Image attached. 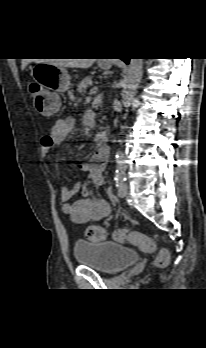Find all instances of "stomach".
Returning <instances> with one entry per match:
<instances>
[{
    "instance_id": "obj_1",
    "label": "stomach",
    "mask_w": 206,
    "mask_h": 348,
    "mask_svg": "<svg viewBox=\"0 0 206 348\" xmlns=\"http://www.w3.org/2000/svg\"><path fill=\"white\" fill-rule=\"evenodd\" d=\"M110 66V63H101L103 69H108ZM32 76L35 82L43 88L42 91L34 95L35 109L42 115L50 116L60 106L58 93L65 92L70 88L68 71L64 67L50 63H39L32 69Z\"/></svg>"
}]
</instances>
